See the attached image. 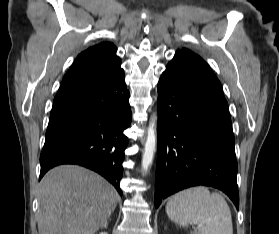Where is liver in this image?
I'll use <instances>...</instances> for the list:
<instances>
[{
	"mask_svg": "<svg viewBox=\"0 0 279 234\" xmlns=\"http://www.w3.org/2000/svg\"><path fill=\"white\" fill-rule=\"evenodd\" d=\"M119 195L100 175L75 165L51 169L40 183L39 234H94Z\"/></svg>",
	"mask_w": 279,
	"mask_h": 234,
	"instance_id": "6515ba94",
	"label": "liver"
}]
</instances>
